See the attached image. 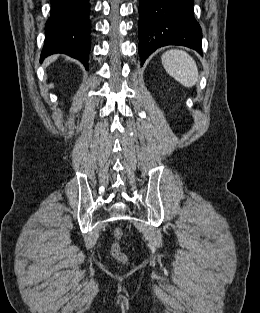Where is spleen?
Masks as SVG:
<instances>
[{
  "instance_id": "1",
  "label": "spleen",
  "mask_w": 260,
  "mask_h": 313,
  "mask_svg": "<svg viewBox=\"0 0 260 313\" xmlns=\"http://www.w3.org/2000/svg\"><path fill=\"white\" fill-rule=\"evenodd\" d=\"M162 65L166 72L184 87H193L198 82V67L185 51L171 49L162 54Z\"/></svg>"
}]
</instances>
